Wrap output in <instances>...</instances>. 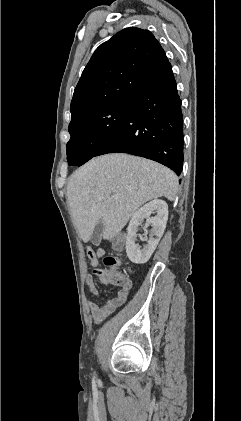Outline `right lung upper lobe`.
I'll use <instances>...</instances> for the list:
<instances>
[{"mask_svg":"<svg viewBox=\"0 0 241 421\" xmlns=\"http://www.w3.org/2000/svg\"><path fill=\"white\" fill-rule=\"evenodd\" d=\"M168 62L154 35L129 27L101 44L82 72L74 90L71 122L133 94Z\"/></svg>","mask_w":241,"mask_h":421,"instance_id":"cb5924a9","label":"right lung upper lobe"}]
</instances>
